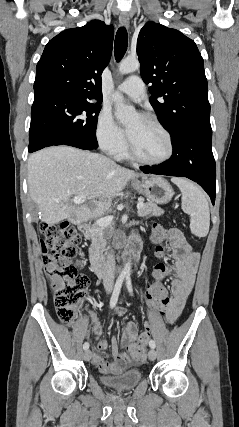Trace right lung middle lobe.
<instances>
[{"label":"right lung middle lobe","mask_w":239,"mask_h":427,"mask_svg":"<svg viewBox=\"0 0 239 427\" xmlns=\"http://www.w3.org/2000/svg\"><path fill=\"white\" fill-rule=\"evenodd\" d=\"M100 103L69 97L34 99L31 109L29 150L54 144L95 148ZM91 147V148H90Z\"/></svg>","instance_id":"1"}]
</instances>
